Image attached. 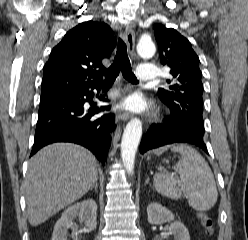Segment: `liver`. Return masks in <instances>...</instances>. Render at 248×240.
<instances>
[{
    "label": "liver",
    "mask_w": 248,
    "mask_h": 240,
    "mask_svg": "<svg viewBox=\"0 0 248 240\" xmlns=\"http://www.w3.org/2000/svg\"><path fill=\"white\" fill-rule=\"evenodd\" d=\"M87 149L55 143L29 161L25 196L28 221L40 225L85 195L97 181V164Z\"/></svg>",
    "instance_id": "obj_1"
}]
</instances>
